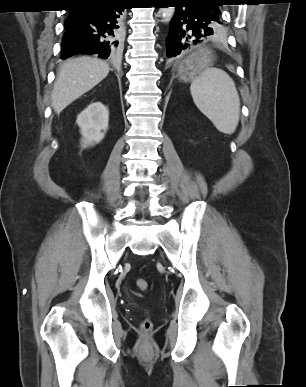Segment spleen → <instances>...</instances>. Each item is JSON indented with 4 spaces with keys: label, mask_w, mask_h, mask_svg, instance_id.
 Returning a JSON list of instances; mask_svg holds the SVG:
<instances>
[{
    "label": "spleen",
    "mask_w": 306,
    "mask_h": 387,
    "mask_svg": "<svg viewBox=\"0 0 306 387\" xmlns=\"http://www.w3.org/2000/svg\"><path fill=\"white\" fill-rule=\"evenodd\" d=\"M197 108L222 133L232 134L239 122L240 99L232 78L223 70L205 68L190 87Z\"/></svg>",
    "instance_id": "1"
}]
</instances>
